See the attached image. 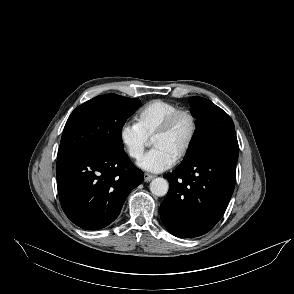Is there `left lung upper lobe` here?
<instances>
[{
    "instance_id": "1",
    "label": "left lung upper lobe",
    "mask_w": 294,
    "mask_h": 294,
    "mask_svg": "<svg viewBox=\"0 0 294 294\" xmlns=\"http://www.w3.org/2000/svg\"><path fill=\"white\" fill-rule=\"evenodd\" d=\"M189 102L192 115L197 119V130L184 162L190 160L213 141L226 136H236L230 116L210 100L192 97Z\"/></svg>"
}]
</instances>
